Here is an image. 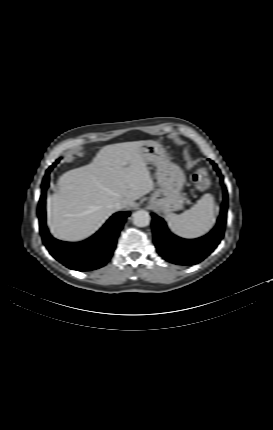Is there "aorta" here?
<instances>
[{
  "label": "aorta",
  "instance_id": "1",
  "mask_svg": "<svg viewBox=\"0 0 273 430\" xmlns=\"http://www.w3.org/2000/svg\"><path fill=\"white\" fill-rule=\"evenodd\" d=\"M133 224L138 227H145L150 224L151 216L145 210H139L132 215Z\"/></svg>",
  "mask_w": 273,
  "mask_h": 430
}]
</instances>
